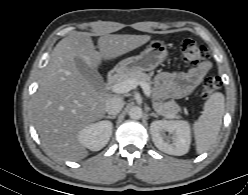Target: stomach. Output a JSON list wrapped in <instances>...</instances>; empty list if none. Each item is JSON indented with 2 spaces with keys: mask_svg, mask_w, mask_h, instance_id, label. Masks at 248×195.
<instances>
[{
  "mask_svg": "<svg viewBox=\"0 0 248 195\" xmlns=\"http://www.w3.org/2000/svg\"><path fill=\"white\" fill-rule=\"evenodd\" d=\"M167 55L166 44L161 40H153L139 55L120 61L113 71L118 74L151 71L160 65Z\"/></svg>",
  "mask_w": 248,
  "mask_h": 195,
  "instance_id": "stomach-1",
  "label": "stomach"
}]
</instances>
